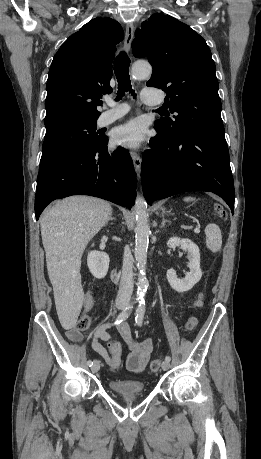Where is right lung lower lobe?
<instances>
[{"label":"right lung lower lobe","instance_id":"right-lung-lower-lobe-1","mask_svg":"<svg viewBox=\"0 0 261 459\" xmlns=\"http://www.w3.org/2000/svg\"><path fill=\"white\" fill-rule=\"evenodd\" d=\"M108 138L87 150L65 155L39 168L35 195L38 220L53 200L71 195H91L131 208L136 177L132 159L124 148L107 150Z\"/></svg>","mask_w":261,"mask_h":459}]
</instances>
